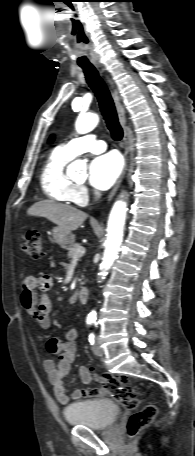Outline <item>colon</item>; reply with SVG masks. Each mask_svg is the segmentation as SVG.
Returning a JSON list of instances; mask_svg holds the SVG:
<instances>
[{
  "instance_id": "obj_1",
  "label": "colon",
  "mask_w": 195,
  "mask_h": 456,
  "mask_svg": "<svg viewBox=\"0 0 195 456\" xmlns=\"http://www.w3.org/2000/svg\"><path fill=\"white\" fill-rule=\"evenodd\" d=\"M44 239L38 232H30L21 244V251L31 259H40L43 256ZM100 381L107 392L124 408L136 409L140 400L136 397L132 386L124 377H115L110 373H103ZM156 406L149 404L135 412L128 420L127 430L130 436L146 428L156 417Z\"/></svg>"
}]
</instances>
